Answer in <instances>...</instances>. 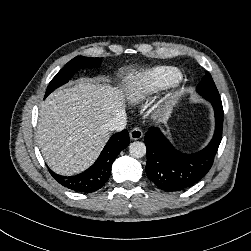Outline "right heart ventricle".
I'll list each match as a JSON object with an SVG mask.
<instances>
[{"instance_id":"right-heart-ventricle-1","label":"right heart ventricle","mask_w":251,"mask_h":251,"mask_svg":"<svg viewBox=\"0 0 251 251\" xmlns=\"http://www.w3.org/2000/svg\"><path fill=\"white\" fill-rule=\"evenodd\" d=\"M181 77L180 70L172 66H157L130 75L125 81L124 97L129 103L139 104L152 95L176 85Z\"/></svg>"}]
</instances>
